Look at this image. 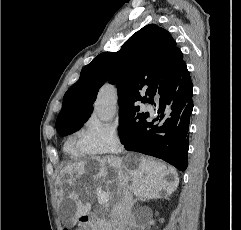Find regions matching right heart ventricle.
Wrapping results in <instances>:
<instances>
[{"mask_svg":"<svg viewBox=\"0 0 241 230\" xmlns=\"http://www.w3.org/2000/svg\"><path fill=\"white\" fill-rule=\"evenodd\" d=\"M64 149L65 152L73 159H79L89 154L84 148L81 139L75 140L72 138L68 140Z\"/></svg>","mask_w":241,"mask_h":230,"instance_id":"e07e8e85","label":"right heart ventricle"}]
</instances>
